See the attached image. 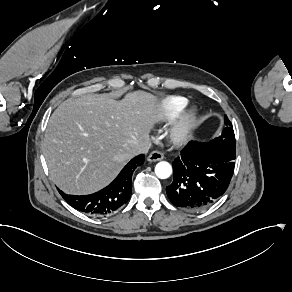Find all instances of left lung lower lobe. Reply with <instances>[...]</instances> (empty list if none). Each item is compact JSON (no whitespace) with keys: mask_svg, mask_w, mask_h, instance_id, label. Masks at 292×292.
Wrapping results in <instances>:
<instances>
[{"mask_svg":"<svg viewBox=\"0 0 292 292\" xmlns=\"http://www.w3.org/2000/svg\"><path fill=\"white\" fill-rule=\"evenodd\" d=\"M236 153L191 141L173 165V182L166 193L176 207L197 211L209 207L227 190Z\"/></svg>","mask_w":292,"mask_h":292,"instance_id":"obj_1","label":"left lung lower lobe"}]
</instances>
